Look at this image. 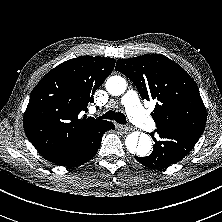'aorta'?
<instances>
[{
	"label": "aorta",
	"instance_id": "obj_1",
	"mask_svg": "<svg viewBox=\"0 0 222 222\" xmlns=\"http://www.w3.org/2000/svg\"><path fill=\"white\" fill-rule=\"evenodd\" d=\"M127 88L126 80L121 76H111L106 81V89L113 96H120ZM125 145L131 154L145 157L152 148L151 138L147 134L131 133L125 140Z\"/></svg>",
	"mask_w": 222,
	"mask_h": 222
}]
</instances>
